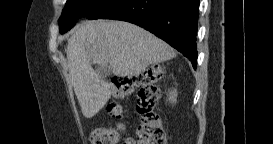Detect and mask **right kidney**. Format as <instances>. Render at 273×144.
<instances>
[{
    "instance_id": "obj_1",
    "label": "right kidney",
    "mask_w": 273,
    "mask_h": 144,
    "mask_svg": "<svg viewBox=\"0 0 273 144\" xmlns=\"http://www.w3.org/2000/svg\"><path fill=\"white\" fill-rule=\"evenodd\" d=\"M177 91L173 90L169 93V97H168V101L172 104L176 103V99H177Z\"/></svg>"
}]
</instances>
